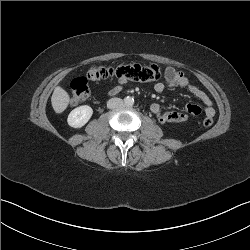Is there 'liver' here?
<instances>
[{"label":"liver","instance_id":"obj_1","mask_svg":"<svg viewBox=\"0 0 250 250\" xmlns=\"http://www.w3.org/2000/svg\"><path fill=\"white\" fill-rule=\"evenodd\" d=\"M70 102V96L66 90L62 87L57 86L51 97V103L54 111L58 114L62 113Z\"/></svg>","mask_w":250,"mask_h":250}]
</instances>
